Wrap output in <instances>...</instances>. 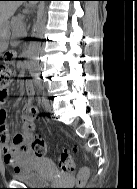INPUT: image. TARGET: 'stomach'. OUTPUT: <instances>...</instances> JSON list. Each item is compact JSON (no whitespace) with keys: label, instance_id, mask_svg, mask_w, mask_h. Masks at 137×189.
<instances>
[{"label":"stomach","instance_id":"0dacf381","mask_svg":"<svg viewBox=\"0 0 137 189\" xmlns=\"http://www.w3.org/2000/svg\"><path fill=\"white\" fill-rule=\"evenodd\" d=\"M9 39V29H8V23H6L1 29H0V52L4 48H6L7 43L6 41Z\"/></svg>","mask_w":137,"mask_h":189}]
</instances>
